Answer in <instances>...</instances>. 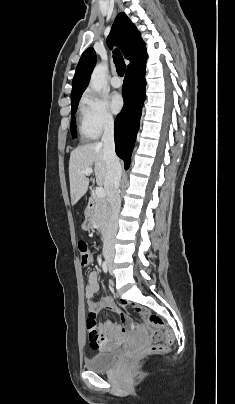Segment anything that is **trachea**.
<instances>
[{
  "label": "trachea",
  "instance_id": "obj_1",
  "mask_svg": "<svg viewBox=\"0 0 235 404\" xmlns=\"http://www.w3.org/2000/svg\"><path fill=\"white\" fill-rule=\"evenodd\" d=\"M113 59L118 75L123 76L126 70V65L119 50L116 49L113 51Z\"/></svg>",
  "mask_w": 235,
  "mask_h": 404
}]
</instances>
